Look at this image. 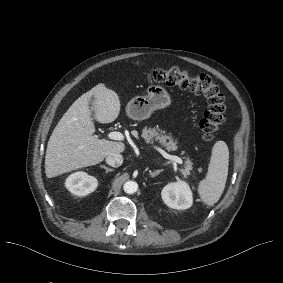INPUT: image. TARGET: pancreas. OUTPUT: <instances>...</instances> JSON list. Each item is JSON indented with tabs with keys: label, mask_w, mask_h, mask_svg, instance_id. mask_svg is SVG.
Wrapping results in <instances>:
<instances>
[{
	"label": "pancreas",
	"mask_w": 283,
	"mask_h": 283,
	"mask_svg": "<svg viewBox=\"0 0 283 283\" xmlns=\"http://www.w3.org/2000/svg\"><path fill=\"white\" fill-rule=\"evenodd\" d=\"M141 137L149 143L150 140L153 138L156 139L159 143H162L163 146L167 149V151L172 152L178 149L180 147L179 140L167 136V135H162L161 133L157 132L156 130L152 128H143L141 131ZM181 156L185 155V151H182L180 153ZM192 169H193V162L192 158H190L188 155H186L185 160H184V165L182 169V173L184 176H191L192 175Z\"/></svg>",
	"instance_id": "1"
}]
</instances>
